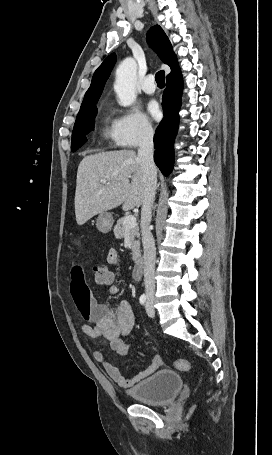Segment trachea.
<instances>
[{
    "mask_svg": "<svg viewBox=\"0 0 272 455\" xmlns=\"http://www.w3.org/2000/svg\"><path fill=\"white\" fill-rule=\"evenodd\" d=\"M155 79H156V83L159 87L165 86V73L163 70L156 73Z\"/></svg>",
    "mask_w": 272,
    "mask_h": 455,
    "instance_id": "trachea-1",
    "label": "trachea"
}]
</instances>
